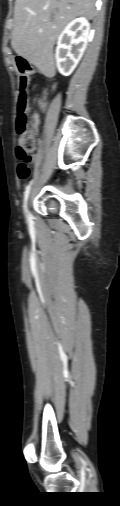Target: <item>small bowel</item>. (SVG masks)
I'll return each mask as SVG.
<instances>
[{
  "label": "small bowel",
  "instance_id": "obj_1",
  "mask_svg": "<svg viewBox=\"0 0 120 506\" xmlns=\"http://www.w3.org/2000/svg\"><path fill=\"white\" fill-rule=\"evenodd\" d=\"M39 107H40V109L44 110V109H46L47 105H46V103L39 102ZM35 121H36V125L35 126L37 127L38 124H39V121H40V117H39L38 114H35Z\"/></svg>",
  "mask_w": 120,
  "mask_h": 506
}]
</instances>
